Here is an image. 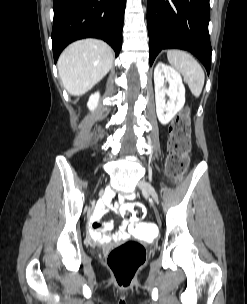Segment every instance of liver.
<instances>
[{"label":"liver","instance_id":"liver-1","mask_svg":"<svg viewBox=\"0 0 247 304\" xmlns=\"http://www.w3.org/2000/svg\"><path fill=\"white\" fill-rule=\"evenodd\" d=\"M114 53L98 39L70 44L60 55L57 66L63 86L72 95H83L112 68Z\"/></svg>","mask_w":247,"mask_h":304}]
</instances>
